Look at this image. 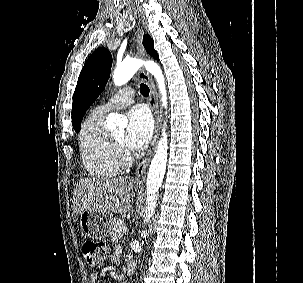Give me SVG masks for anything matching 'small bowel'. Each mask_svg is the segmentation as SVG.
<instances>
[{
	"label": "small bowel",
	"instance_id": "small-bowel-1",
	"mask_svg": "<svg viewBox=\"0 0 303 283\" xmlns=\"http://www.w3.org/2000/svg\"><path fill=\"white\" fill-rule=\"evenodd\" d=\"M121 258V249L117 248L111 256V260L113 262H118ZM91 283H98V275L96 273H92L89 277Z\"/></svg>",
	"mask_w": 303,
	"mask_h": 283
}]
</instances>
